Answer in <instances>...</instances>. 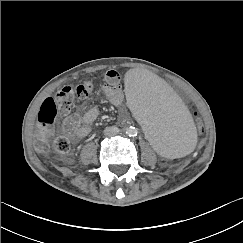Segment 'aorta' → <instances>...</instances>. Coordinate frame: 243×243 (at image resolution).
<instances>
[{
  "label": "aorta",
  "mask_w": 243,
  "mask_h": 243,
  "mask_svg": "<svg viewBox=\"0 0 243 243\" xmlns=\"http://www.w3.org/2000/svg\"><path fill=\"white\" fill-rule=\"evenodd\" d=\"M126 133H128V134H132V133H133V129H132V128H127V129H126Z\"/></svg>",
  "instance_id": "762f6f07"
}]
</instances>
